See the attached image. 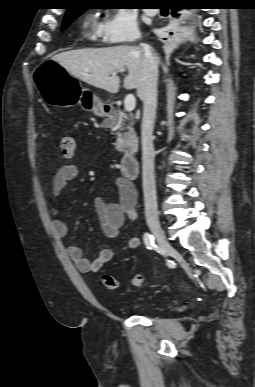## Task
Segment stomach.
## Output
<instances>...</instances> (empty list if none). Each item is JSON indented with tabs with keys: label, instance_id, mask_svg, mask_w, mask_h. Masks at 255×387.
I'll return each mask as SVG.
<instances>
[{
	"label": "stomach",
	"instance_id": "0dacf381",
	"mask_svg": "<svg viewBox=\"0 0 255 387\" xmlns=\"http://www.w3.org/2000/svg\"><path fill=\"white\" fill-rule=\"evenodd\" d=\"M36 76V89L43 100L56 107H71L75 103L84 110L93 111L98 116L107 113L104 104L89 89L82 87L60 64L53 60L42 66H32Z\"/></svg>",
	"mask_w": 255,
	"mask_h": 387
}]
</instances>
